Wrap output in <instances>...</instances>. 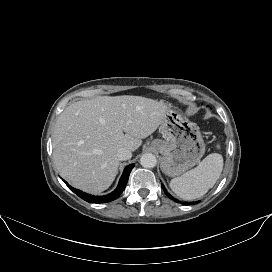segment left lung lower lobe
I'll return each mask as SVG.
<instances>
[{"instance_id":"0a47b994","label":"left lung lower lobe","mask_w":272,"mask_h":272,"mask_svg":"<svg viewBox=\"0 0 272 272\" xmlns=\"http://www.w3.org/2000/svg\"><path fill=\"white\" fill-rule=\"evenodd\" d=\"M162 188H163L165 194H166L170 199L174 200L175 202H179L178 200L172 198V196L165 190V188H164L163 185H162ZM196 203H198V202H193V203H183V204H185V205H190V204H196Z\"/></svg>"}]
</instances>
